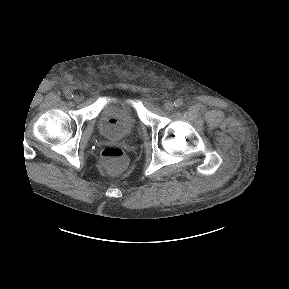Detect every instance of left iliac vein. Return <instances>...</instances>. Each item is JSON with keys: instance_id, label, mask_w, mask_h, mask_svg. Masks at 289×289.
Masks as SVG:
<instances>
[{"instance_id": "4c4485c4", "label": "left iliac vein", "mask_w": 289, "mask_h": 289, "mask_svg": "<svg viewBox=\"0 0 289 289\" xmlns=\"http://www.w3.org/2000/svg\"><path fill=\"white\" fill-rule=\"evenodd\" d=\"M164 109L167 110V111H171L174 109V103L171 102V101H166L164 103Z\"/></svg>"}]
</instances>
